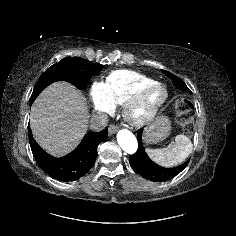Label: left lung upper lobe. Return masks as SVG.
Here are the masks:
<instances>
[{"instance_id":"5c2ea615","label":"left lung upper lobe","mask_w":236,"mask_h":236,"mask_svg":"<svg viewBox=\"0 0 236 236\" xmlns=\"http://www.w3.org/2000/svg\"><path fill=\"white\" fill-rule=\"evenodd\" d=\"M168 77L171 78L173 84L179 88L182 89L186 92H190L189 88L186 86V84L184 83V81L182 79H180L179 77L167 72V71H163Z\"/></svg>"}]
</instances>
